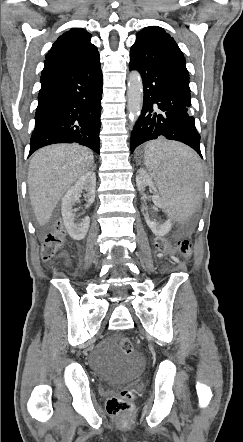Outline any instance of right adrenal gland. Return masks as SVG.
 <instances>
[{
	"label": "right adrenal gland",
	"instance_id": "2a0ac1e0",
	"mask_svg": "<svg viewBox=\"0 0 243 442\" xmlns=\"http://www.w3.org/2000/svg\"><path fill=\"white\" fill-rule=\"evenodd\" d=\"M93 170L95 169V165L93 166V168H92Z\"/></svg>",
	"mask_w": 243,
	"mask_h": 442
}]
</instances>
